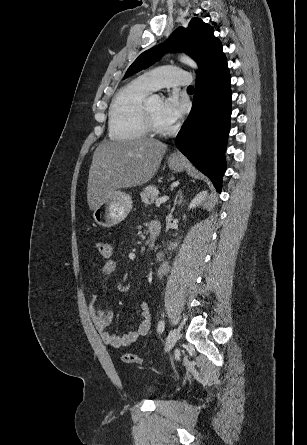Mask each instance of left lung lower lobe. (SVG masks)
Wrapping results in <instances>:
<instances>
[{
	"label": "left lung lower lobe",
	"mask_w": 307,
	"mask_h": 445,
	"mask_svg": "<svg viewBox=\"0 0 307 445\" xmlns=\"http://www.w3.org/2000/svg\"><path fill=\"white\" fill-rule=\"evenodd\" d=\"M226 57L197 75L192 110L176 137L178 149L221 192L230 129L231 88Z\"/></svg>",
	"instance_id": "left-lung-lower-lobe-1"
}]
</instances>
